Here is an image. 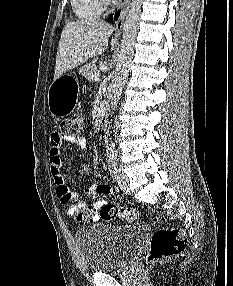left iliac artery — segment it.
Returning a JSON list of instances; mask_svg holds the SVG:
<instances>
[{"instance_id":"obj_1","label":"left iliac artery","mask_w":233,"mask_h":286,"mask_svg":"<svg viewBox=\"0 0 233 286\" xmlns=\"http://www.w3.org/2000/svg\"><path fill=\"white\" fill-rule=\"evenodd\" d=\"M110 159H111V163H112V166L114 167V169L117 168L118 157H117V151L115 150L114 146L110 147Z\"/></svg>"}]
</instances>
